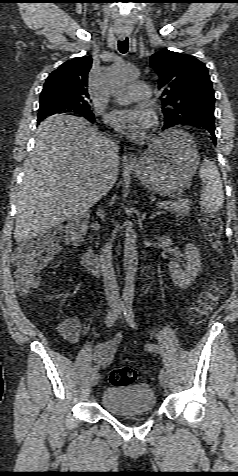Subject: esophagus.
I'll return each mask as SVG.
<instances>
[{
	"mask_svg": "<svg viewBox=\"0 0 238 476\" xmlns=\"http://www.w3.org/2000/svg\"><path fill=\"white\" fill-rule=\"evenodd\" d=\"M121 38H125V35H122ZM123 164L126 165V166H133L135 165V160L129 156L128 154H125L123 156Z\"/></svg>",
	"mask_w": 238,
	"mask_h": 476,
	"instance_id": "34e87169",
	"label": "esophagus"
}]
</instances>
